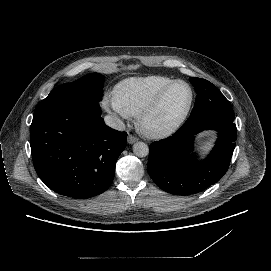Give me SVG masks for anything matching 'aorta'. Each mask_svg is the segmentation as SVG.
I'll list each match as a JSON object with an SVG mask.
<instances>
[{"label": "aorta", "instance_id": "1", "mask_svg": "<svg viewBox=\"0 0 271 271\" xmlns=\"http://www.w3.org/2000/svg\"><path fill=\"white\" fill-rule=\"evenodd\" d=\"M133 152L138 157H145L149 154V148L144 142H136L133 145Z\"/></svg>", "mask_w": 271, "mask_h": 271}]
</instances>
